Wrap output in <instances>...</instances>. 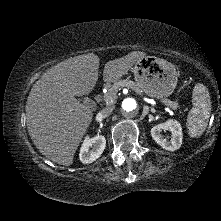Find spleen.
I'll list each match as a JSON object with an SVG mask.
<instances>
[{
    "mask_svg": "<svg viewBox=\"0 0 221 221\" xmlns=\"http://www.w3.org/2000/svg\"><path fill=\"white\" fill-rule=\"evenodd\" d=\"M192 104L187 117V128L189 135L194 138L205 131L211 112L209 92L201 83H197L193 89Z\"/></svg>",
    "mask_w": 221,
    "mask_h": 221,
    "instance_id": "3e777b00",
    "label": "spleen"
}]
</instances>
